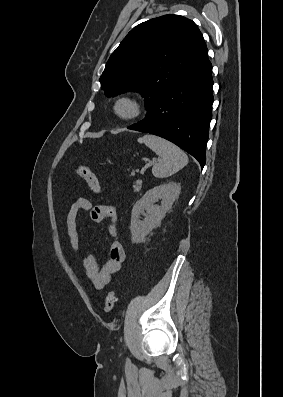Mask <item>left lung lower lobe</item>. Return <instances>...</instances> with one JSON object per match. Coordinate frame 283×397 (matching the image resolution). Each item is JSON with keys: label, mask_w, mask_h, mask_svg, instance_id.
Returning a JSON list of instances; mask_svg holds the SVG:
<instances>
[{"label": "left lung lower lobe", "mask_w": 283, "mask_h": 397, "mask_svg": "<svg viewBox=\"0 0 283 397\" xmlns=\"http://www.w3.org/2000/svg\"><path fill=\"white\" fill-rule=\"evenodd\" d=\"M212 64L207 58L168 89L148 110L146 117L128 129L165 138L206 162V143L212 119Z\"/></svg>", "instance_id": "0a47b994"}]
</instances>
